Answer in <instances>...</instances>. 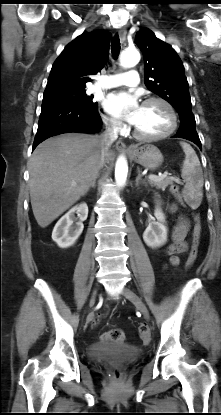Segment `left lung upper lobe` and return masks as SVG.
Instances as JSON below:
<instances>
[{
	"instance_id": "obj_1",
	"label": "left lung upper lobe",
	"mask_w": 221,
	"mask_h": 415,
	"mask_svg": "<svg viewBox=\"0 0 221 415\" xmlns=\"http://www.w3.org/2000/svg\"><path fill=\"white\" fill-rule=\"evenodd\" d=\"M135 43L144 56L146 87L175 108L181 123H195L184 66L175 50L147 28L138 31Z\"/></svg>"
}]
</instances>
